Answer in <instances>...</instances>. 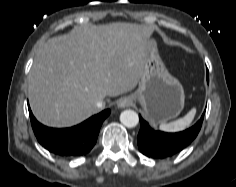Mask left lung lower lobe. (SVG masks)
Returning a JSON list of instances; mask_svg holds the SVG:
<instances>
[{
    "label": "left lung lower lobe",
    "instance_id": "1",
    "mask_svg": "<svg viewBox=\"0 0 236 187\" xmlns=\"http://www.w3.org/2000/svg\"><path fill=\"white\" fill-rule=\"evenodd\" d=\"M204 114L191 128L178 133L155 131L139 116L140 131L137 137L139 150L150 158L163 159L171 157L188 146L198 135Z\"/></svg>",
    "mask_w": 236,
    "mask_h": 187
}]
</instances>
